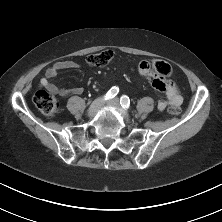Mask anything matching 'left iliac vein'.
I'll return each mask as SVG.
<instances>
[{"mask_svg": "<svg viewBox=\"0 0 222 222\" xmlns=\"http://www.w3.org/2000/svg\"><path fill=\"white\" fill-rule=\"evenodd\" d=\"M107 105L115 108L118 112H120V114L122 115V117H123V119H124L125 121H127V122L129 121L128 116H126V115L121 111L120 104H119V100H118L117 98H114V99H111V100L107 101Z\"/></svg>", "mask_w": 222, "mask_h": 222, "instance_id": "1", "label": "left iliac vein"}]
</instances>
